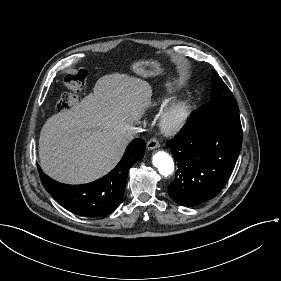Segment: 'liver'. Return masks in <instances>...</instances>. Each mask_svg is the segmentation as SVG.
Wrapping results in <instances>:
<instances>
[{
    "label": "liver",
    "mask_w": 281,
    "mask_h": 281,
    "mask_svg": "<svg viewBox=\"0 0 281 281\" xmlns=\"http://www.w3.org/2000/svg\"><path fill=\"white\" fill-rule=\"evenodd\" d=\"M154 106L147 82L123 74L100 77L94 94L43 125L38 143L42 170L66 184L97 180L121 160L130 144L131 123Z\"/></svg>",
    "instance_id": "obj_1"
}]
</instances>
